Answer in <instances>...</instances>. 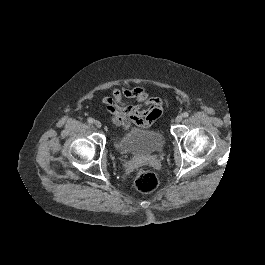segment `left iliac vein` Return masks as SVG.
Returning a JSON list of instances; mask_svg holds the SVG:
<instances>
[{
    "label": "left iliac vein",
    "instance_id": "obj_1",
    "mask_svg": "<svg viewBox=\"0 0 265 265\" xmlns=\"http://www.w3.org/2000/svg\"><path fill=\"white\" fill-rule=\"evenodd\" d=\"M183 119V116L182 115H178L176 118H175V122L176 123H180Z\"/></svg>",
    "mask_w": 265,
    "mask_h": 265
}]
</instances>
